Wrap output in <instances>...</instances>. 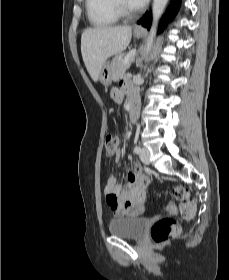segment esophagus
Returning <instances> with one entry per match:
<instances>
[{
    "mask_svg": "<svg viewBox=\"0 0 229 280\" xmlns=\"http://www.w3.org/2000/svg\"><path fill=\"white\" fill-rule=\"evenodd\" d=\"M135 30H136V31H140V30H142V27L139 26V25H137V26L135 27Z\"/></svg>",
    "mask_w": 229,
    "mask_h": 280,
    "instance_id": "obj_1",
    "label": "esophagus"
}]
</instances>
